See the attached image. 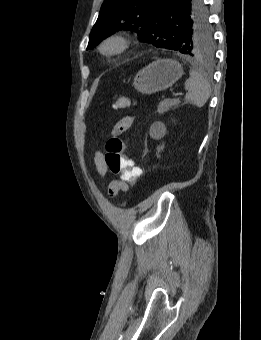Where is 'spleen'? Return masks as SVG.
I'll return each mask as SVG.
<instances>
[{"instance_id":"spleen-1","label":"spleen","mask_w":261,"mask_h":340,"mask_svg":"<svg viewBox=\"0 0 261 340\" xmlns=\"http://www.w3.org/2000/svg\"><path fill=\"white\" fill-rule=\"evenodd\" d=\"M185 89L188 93L185 96L186 102L197 107H203L211 94L209 82L196 70H191L189 79L185 82Z\"/></svg>"}]
</instances>
